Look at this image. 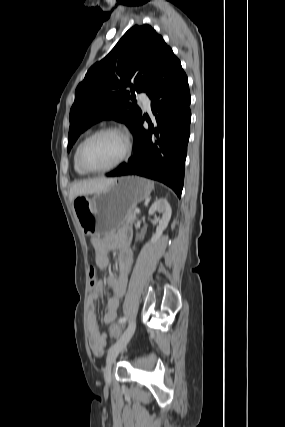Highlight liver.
<instances>
[{
	"label": "liver",
	"instance_id": "obj_1",
	"mask_svg": "<svg viewBox=\"0 0 285 427\" xmlns=\"http://www.w3.org/2000/svg\"><path fill=\"white\" fill-rule=\"evenodd\" d=\"M114 181L115 178H96L77 181L70 188L69 199L73 202L77 196L95 194L108 188Z\"/></svg>",
	"mask_w": 285,
	"mask_h": 427
}]
</instances>
